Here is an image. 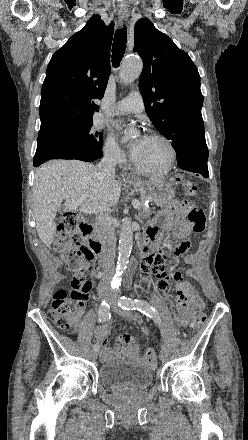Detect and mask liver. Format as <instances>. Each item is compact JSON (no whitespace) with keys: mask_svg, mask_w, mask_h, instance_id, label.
<instances>
[{"mask_svg":"<svg viewBox=\"0 0 248 440\" xmlns=\"http://www.w3.org/2000/svg\"><path fill=\"white\" fill-rule=\"evenodd\" d=\"M120 194L121 185L115 175L105 176L93 164L78 160L45 163L36 170L32 189L33 213L40 240L50 248L57 227L54 219L63 200L87 195V203L110 207L118 203Z\"/></svg>","mask_w":248,"mask_h":440,"instance_id":"1","label":"liver"}]
</instances>
